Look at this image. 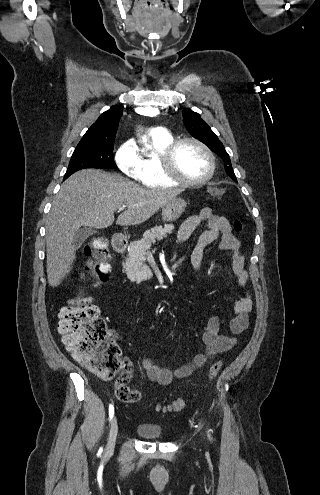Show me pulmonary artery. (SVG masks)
<instances>
[{
  "instance_id": "e3ab8cb5",
  "label": "pulmonary artery",
  "mask_w": 320,
  "mask_h": 495,
  "mask_svg": "<svg viewBox=\"0 0 320 495\" xmlns=\"http://www.w3.org/2000/svg\"><path fill=\"white\" fill-rule=\"evenodd\" d=\"M148 133L155 136H165L168 131L164 127H154L149 129Z\"/></svg>"
}]
</instances>
